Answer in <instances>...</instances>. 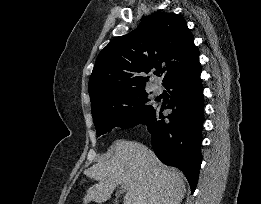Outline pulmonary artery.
<instances>
[{
  "instance_id": "obj_1",
  "label": "pulmonary artery",
  "mask_w": 261,
  "mask_h": 204,
  "mask_svg": "<svg viewBox=\"0 0 261 204\" xmlns=\"http://www.w3.org/2000/svg\"><path fill=\"white\" fill-rule=\"evenodd\" d=\"M153 91H154V94H155V95H160V94L162 93V88H161V86H159V85H155V86L153 87Z\"/></svg>"
}]
</instances>
